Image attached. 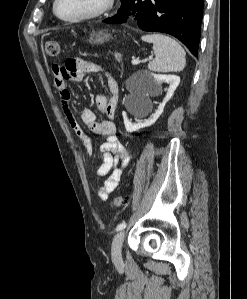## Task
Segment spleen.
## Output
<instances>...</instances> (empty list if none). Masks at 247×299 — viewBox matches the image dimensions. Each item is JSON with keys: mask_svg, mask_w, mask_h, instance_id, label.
<instances>
[{"mask_svg": "<svg viewBox=\"0 0 247 299\" xmlns=\"http://www.w3.org/2000/svg\"><path fill=\"white\" fill-rule=\"evenodd\" d=\"M142 40L153 44L155 59L148 64V69L154 72H176L186 65L185 51L174 39L152 34L142 36Z\"/></svg>", "mask_w": 247, "mask_h": 299, "instance_id": "1", "label": "spleen"}]
</instances>
